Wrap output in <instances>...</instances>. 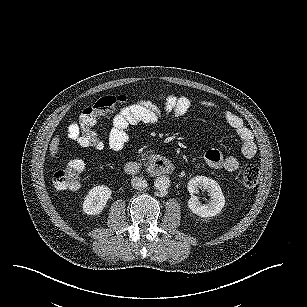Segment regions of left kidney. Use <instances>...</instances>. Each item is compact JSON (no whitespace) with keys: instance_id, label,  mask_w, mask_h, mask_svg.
<instances>
[{"instance_id":"1","label":"left kidney","mask_w":307,"mask_h":307,"mask_svg":"<svg viewBox=\"0 0 307 307\" xmlns=\"http://www.w3.org/2000/svg\"><path fill=\"white\" fill-rule=\"evenodd\" d=\"M187 189L191 195L188 200L189 209L200 217H213L221 212L225 205V197L219 184L208 177L196 176L189 180ZM199 189L206 190L210 196L207 204H202L195 195Z\"/></svg>"}]
</instances>
